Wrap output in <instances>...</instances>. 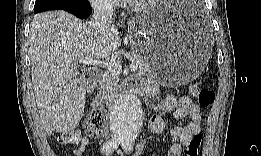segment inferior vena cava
Returning a JSON list of instances; mask_svg holds the SVG:
<instances>
[{"label": "inferior vena cava", "mask_w": 261, "mask_h": 156, "mask_svg": "<svg viewBox=\"0 0 261 156\" xmlns=\"http://www.w3.org/2000/svg\"><path fill=\"white\" fill-rule=\"evenodd\" d=\"M93 16L91 26L97 31H103L111 24L113 5L110 0H95L92 2Z\"/></svg>", "instance_id": "1"}]
</instances>
